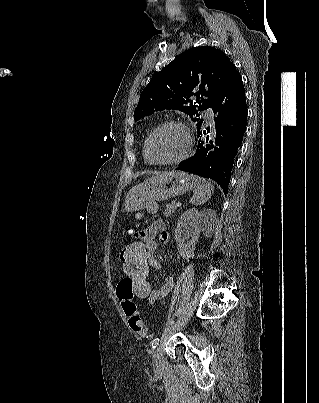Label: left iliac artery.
Segmentation results:
<instances>
[{
	"label": "left iliac artery",
	"instance_id": "left-iliac-artery-1",
	"mask_svg": "<svg viewBox=\"0 0 319 403\" xmlns=\"http://www.w3.org/2000/svg\"><path fill=\"white\" fill-rule=\"evenodd\" d=\"M159 342H160V339H159V338H155V339L152 341V348H153V350L159 345Z\"/></svg>",
	"mask_w": 319,
	"mask_h": 403
}]
</instances>
